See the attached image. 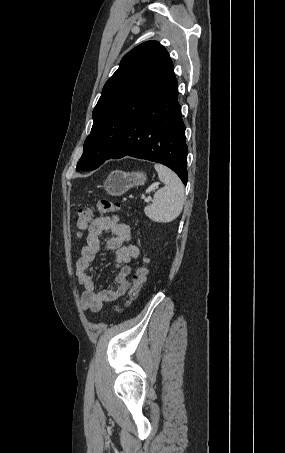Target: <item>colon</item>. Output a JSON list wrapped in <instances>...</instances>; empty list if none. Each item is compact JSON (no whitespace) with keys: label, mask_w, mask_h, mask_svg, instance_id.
I'll list each match as a JSON object with an SVG mask.
<instances>
[{"label":"colon","mask_w":285,"mask_h":453,"mask_svg":"<svg viewBox=\"0 0 285 453\" xmlns=\"http://www.w3.org/2000/svg\"><path fill=\"white\" fill-rule=\"evenodd\" d=\"M120 209L118 203L111 202L109 200H101L98 202L96 208H84L80 209L76 219L77 233L81 236L89 227L91 219L95 211L100 213H111L117 212ZM147 259L143 258L142 262L136 268L133 277L132 285L129 289L128 295L124 300L123 307L117 306L116 311H121L124 307L129 306L139 295L141 288L143 287L146 277H147V268H146Z\"/></svg>","instance_id":"5ec220e1"}]
</instances>
